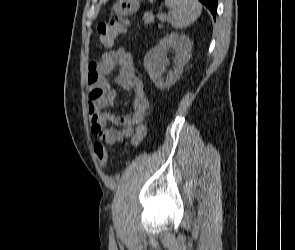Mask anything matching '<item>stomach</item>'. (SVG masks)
Masks as SVG:
<instances>
[{"instance_id":"stomach-1","label":"stomach","mask_w":295,"mask_h":250,"mask_svg":"<svg viewBox=\"0 0 295 250\" xmlns=\"http://www.w3.org/2000/svg\"><path fill=\"white\" fill-rule=\"evenodd\" d=\"M152 2L153 0H149ZM140 7V0H117L113 10L120 15H129L138 10Z\"/></svg>"}]
</instances>
